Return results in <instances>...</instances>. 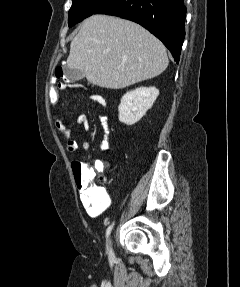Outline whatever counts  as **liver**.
<instances>
[{"instance_id":"6515ba94","label":"liver","mask_w":240,"mask_h":287,"mask_svg":"<svg viewBox=\"0 0 240 287\" xmlns=\"http://www.w3.org/2000/svg\"><path fill=\"white\" fill-rule=\"evenodd\" d=\"M165 46L125 19L93 15L70 44L67 67L83 70L88 82L122 89L160 75L168 66Z\"/></svg>"}]
</instances>
